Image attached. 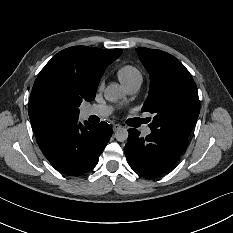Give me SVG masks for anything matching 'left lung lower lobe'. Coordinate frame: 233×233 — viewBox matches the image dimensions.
<instances>
[{
    "label": "left lung lower lobe",
    "mask_w": 233,
    "mask_h": 233,
    "mask_svg": "<svg viewBox=\"0 0 233 233\" xmlns=\"http://www.w3.org/2000/svg\"><path fill=\"white\" fill-rule=\"evenodd\" d=\"M124 152L130 167L144 178L152 179L164 174L180 158L188 139L151 132L140 137L136 129H129Z\"/></svg>",
    "instance_id": "obj_1"
}]
</instances>
